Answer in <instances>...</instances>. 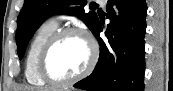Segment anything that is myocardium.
Here are the masks:
<instances>
[{
  "instance_id": "obj_1",
  "label": "myocardium",
  "mask_w": 173,
  "mask_h": 91,
  "mask_svg": "<svg viewBox=\"0 0 173 91\" xmlns=\"http://www.w3.org/2000/svg\"><path fill=\"white\" fill-rule=\"evenodd\" d=\"M76 34L82 36L89 45L90 55L89 60L85 68L79 72L78 74L66 78V79H54L52 78L46 70V60L52 49V47L64 36ZM99 58V48L95 40L83 29L78 27H63L61 29L56 30L53 34L49 36V38L43 44L38 58H37V73L39 77L47 84L54 87H63L73 84L87 75H89L93 69L95 68L97 61Z\"/></svg>"
}]
</instances>
